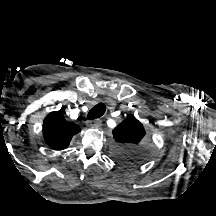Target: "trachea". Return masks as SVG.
<instances>
[{"instance_id": "3493384b", "label": "trachea", "mask_w": 216, "mask_h": 216, "mask_svg": "<svg viewBox=\"0 0 216 216\" xmlns=\"http://www.w3.org/2000/svg\"><path fill=\"white\" fill-rule=\"evenodd\" d=\"M106 111V106L103 103H99L94 106L87 114L89 120H94L101 117Z\"/></svg>"}]
</instances>
